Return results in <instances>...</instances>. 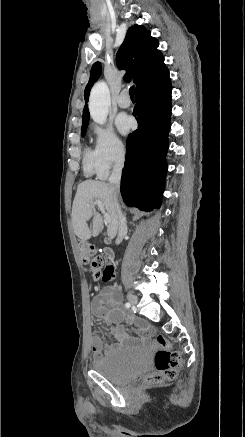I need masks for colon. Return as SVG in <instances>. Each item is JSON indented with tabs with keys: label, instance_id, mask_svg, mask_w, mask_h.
I'll use <instances>...</instances> for the list:
<instances>
[{
	"label": "colon",
	"instance_id": "colon-1",
	"mask_svg": "<svg viewBox=\"0 0 245 437\" xmlns=\"http://www.w3.org/2000/svg\"><path fill=\"white\" fill-rule=\"evenodd\" d=\"M81 260L94 279L108 282L115 276L112 264L106 263L99 252L90 245L81 247ZM155 370L147 376V381L159 383L174 379L181 365V356L172 351L169 341L164 335H158L155 340Z\"/></svg>",
	"mask_w": 245,
	"mask_h": 437
}]
</instances>
